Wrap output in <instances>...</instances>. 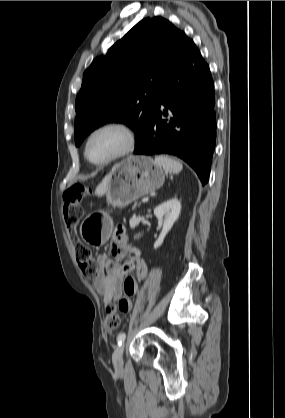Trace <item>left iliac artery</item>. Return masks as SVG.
Returning <instances> with one entry per match:
<instances>
[{
	"instance_id": "obj_1",
	"label": "left iliac artery",
	"mask_w": 285,
	"mask_h": 418,
	"mask_svg": "<svg viewBox=\"0 0 285 418\" xmlns=\"http://www.w3.org/2000/svg\"><path fill=\"white\" fill-rule=\"evenodd\" d=\"M125 338H126V334L124 332L123 333H120L117 336V342H118V344L121 345L122 342H124Z\"/></svg>"
}]
</instances>
